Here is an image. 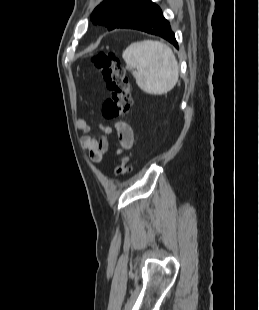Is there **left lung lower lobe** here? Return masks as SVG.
Wrapping results in <instances>:
<instances>
[{
	"label": "left lung lower lobe",
	"instance_id": "1",
	"mask_svg": "<svg viewBox=\"0 0 259 310\" xmlns=\"http://www.w3.org/2000/svg\"><path fill=\"white\" fill-rule=\"evenodd\" d=\"M115 28L137 29L157 35L178 48L169 22L164 18L161 9L156 4L152 3L151 0L128 12Z\"/></svg>",
	"mask_w": 259,
	"mask_h": 310
}]
</instances>
